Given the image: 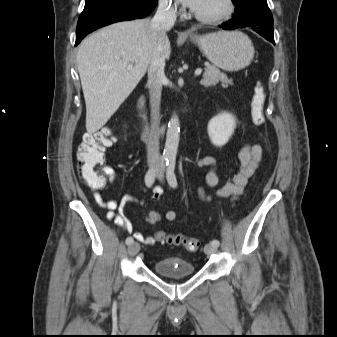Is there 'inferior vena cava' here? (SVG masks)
I'll return each instance as SVG.
<instances>
[{"mask_svg":"<svg viewBox=\"0 0 337 337\" xmlns=\"http://www.w3.org/2000/svg\"><path fill=\"white\" fill-rule=\"evenodd\" d=\"M177 8L170 6L168 0H160L155 16L151 20V28L160 31L163 35L165 30L170 29L176 21ZM161 51V42L154 54V57L148 68V87L151 106V130L150 138L147 144V160L151 163H157L160 159L159 152V125H160V101L164 80L165 59L159 52Z\"/></svg>","mask_w":337,"mask_h":337,"instance_id":"602c4592","label":"inferior vena cava"}]
</instances>
